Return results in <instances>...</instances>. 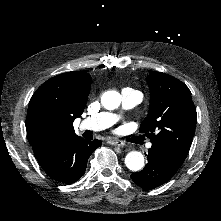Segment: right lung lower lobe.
Segmentation results:
<instances>
[{
	"label": "right lung lower lobe",
	"instance_id": "right-lung-lower-lobe-1",
	"mask_svg": "<svg viewBox=\"0 0 221 221\" xmlns=\"http://www.w3.org/2000/svg\"><path fill=\"white\" fill-rule=\"evenodd\" d=\"M100 146L99 140L87 141L78 136L37 160L52 179L71 184L85 173L89 156Z\"/></svg>",
	"mask_w": 221,
	"mask_h": 221
}]
</instances>
